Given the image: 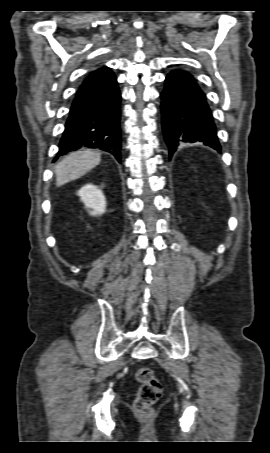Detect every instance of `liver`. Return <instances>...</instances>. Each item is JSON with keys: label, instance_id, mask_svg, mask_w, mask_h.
Segmentation results:
<instances>
[{"label": "liver", "instance_id": "1", "mask_svg": "<svg viewBox=\"0 0 270 453\" xmlns=\"http://www.w3.org/2000/svg\"><path fill=\"white\" fill-rule=\"evenodd\" d=\"M100 161L101 154L93 150H81L70 153L54 168L56 186L60 187L80 178L96 167Z\"/></svg>", "mask_w": 270, "mask_h": 453}]
</instances>
